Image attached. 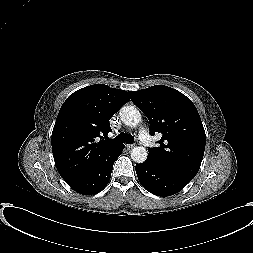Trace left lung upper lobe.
Masks as SVG:
<instances>
[{
  "label": "left lung upper lobe",
  "instance_id": "left-lung-upper-lobe-1",
  "mask_svg": "<svg viewBox=\"0 0 253 253\" xmlns=\"http://www.w3.org/2000/svg\"><path fill=\"white\" fill-rule=\"evenodd\" d=\"M129 94L133 103L147 116L150 134L162 135L158 141L160 146L150 148L148 158L193 179L200 168L206 144L202 121L193 102L164 85Z\"/></svg>",
  "mask_w": 253,
  "mask_h": 253
}]
</instances>
